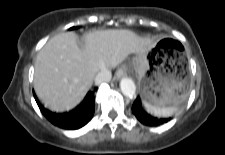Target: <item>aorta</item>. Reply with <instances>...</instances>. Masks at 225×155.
Masks as SVG:
<instances>
[{
  "label": "aorta",
  "mask_w": 225,
  "mask_h": 155,
  "mask_svg": "<svg viewBox=\"0 0 225 155\" xmlns=\"http://www.w3.org/2000/svg\"><path fill=\"white\" fill-rule=\"evenodd\" d=\"M120 89L126 97H132L136 93V86L132 79L122 78L120 81Z\"/></svg>",
  "instance_id": "762f6f07"
}]
</instances>
